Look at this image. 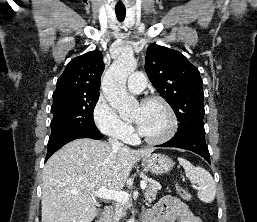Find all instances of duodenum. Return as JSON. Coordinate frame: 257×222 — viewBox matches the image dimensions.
<instances>
[{
    "instance_id": "410a0bca",
    "label": "duodenum",
    "mask_w": 257,
    "mask_h": 222,
    "mask_svg": "<svg viewBox=\"0 0 257 222\" xmlns=\"http://www.w3.org/2000/svg\"><path fill=\"white\" fill-rule=\"evenodd\" d=\"M110 212L111 207L109 205L104 206L101 216L95 222H107Z\"/></svg>"
}]
</instances>
